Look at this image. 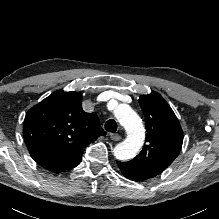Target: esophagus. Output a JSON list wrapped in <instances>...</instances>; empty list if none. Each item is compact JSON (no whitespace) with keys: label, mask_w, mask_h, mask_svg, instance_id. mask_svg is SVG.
Masks as SVG:
<instances>
[{"label":"esophagus","mask_w":219,"mask_h":219,"mask_svg":"<svg viewBox=\"0 0 219 219\" xmlns=\"http://www.w3.org/2000/svg\"><path fill=\"white\" fill-rule=\"evenodd\" d=\"M109 136H110V139L113 141H118L121 139V136L117 133H110Z\"/></svg>","instance_id":"1"}]
</instances>
